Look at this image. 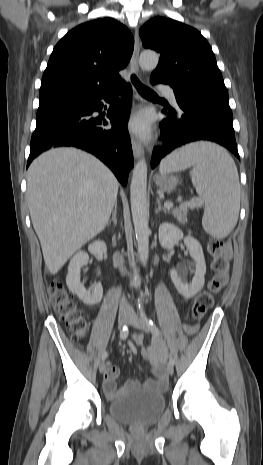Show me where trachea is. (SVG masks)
Here are the masks:
<instances>
[{"mask_svg":"<svg viewBox=\"0 0 263 465\" xmlns=\"http://www.w3.org/2000/svg\"><path fill=\"white\" fill-rule=\"evenodd\" d=\"M131 81L134 84V86L136 87L137 91L143 97H146V98L157 97L156 93H154L152 90H150L149 88L142 85V83L138 80V78L134 74L131 76Z\"/></svg>","mask_w":263,"mask_h":465,"instance_id":"trachea-1","label":"trachea"}]
</instances>
